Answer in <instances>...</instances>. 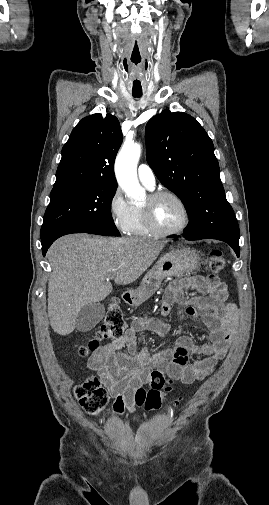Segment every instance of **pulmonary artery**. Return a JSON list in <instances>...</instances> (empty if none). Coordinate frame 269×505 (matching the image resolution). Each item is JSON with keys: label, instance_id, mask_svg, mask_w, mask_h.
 Masks as SVG:
<instances>
[{"label": "pulmonary artery", "instance_id": "1", "mask_svg": "<svg viewBox=\"0 0 269 505\" xmlns=\"http://www.w3.org/2000/svg\"><path fill=\"white\" fill-rule=\"evenodd\" d=\"M137 175L140 182L149 189H153L156 184V178L153 170L147 164H140L137 169Z\"/></svg>", "mask_w": 269, "mask_h": 505}]
</instances>
